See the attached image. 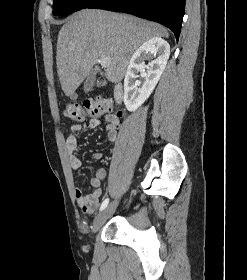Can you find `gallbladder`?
I'll use <instances>...</instances> for the list:
<instances>
[{"label": "gallbladder", "instance_id": "bac80fb5", "mask_svg": "<svg viewBox=\"0 0 247 280\" xmlns=\"http://www.w3.org/2000/svg\"><path fill=\"white\" fill-rule=\"evenodd\" d=\"M95 77H96V70L92 69L89 72L86 81L84 82V92L87 93L92 91L95 82ZM72 99H76V95H73Z\"/></svg>", "mask_w": 247, "mask_h": 280}]
</instances>
